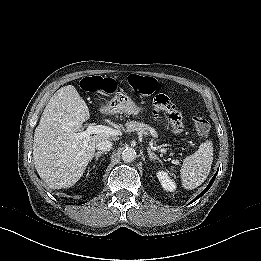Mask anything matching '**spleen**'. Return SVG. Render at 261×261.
Instances as JSON below:
<instances>
[{
	"mask_svg": "<svg viewBox=\"0 0 261 261\" xmlns=\"http://www.w3.org/2000/svg\"><path fill=\"white\" fill-rule=\"evenodd\" d=\"M213 162V148L210 142H204L199 149L187 156L181 168V180L185 189H195L208 177Z\"/></svg>",
	"mask_w": 261,
	"mask_h": 261,
	"instance_id": "obj_1",
	"label": "spleen"
}]
</instances>
